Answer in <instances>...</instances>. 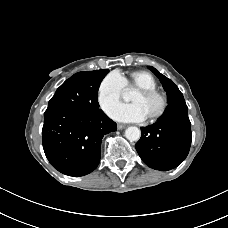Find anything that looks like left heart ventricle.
Wrapping results in <instances>:
<instances>
[{
  "instance_id": "left-heart-ventricle-1",
  "label": "left heart ventricle",
  "mask_w": 228,
  "mask_h": 228,
  "mask_svg": "<svg viewBox=\"0 0 228 228\" xmlns=\"http://www.w3.org/2000/svg\"><path fill=\"white\" fill-rule=\"evenodd\" d=\"M130 101L138 104L144 111L146 117L156 113L160 107V100L157 97H144L138 92L132 94Z\"/></svg>"
}]
</instances>
